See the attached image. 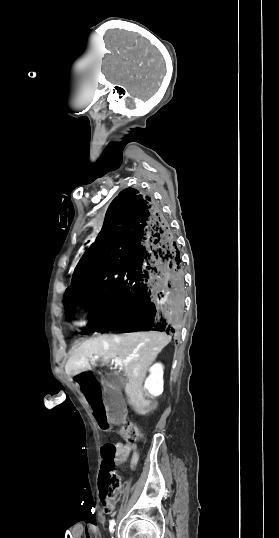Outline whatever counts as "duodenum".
<instances>
[{"label":"duodenum","mask_w":279,"mask_h":538,"mask_svg":"<svg viewBox=\"0 0 279 538\" xmlns=\"http://www.w3.org/2000/svg\"><path fill=\"white\" fill-rule=\"evenodd\" d=\"M97 377H98V378H103V377H104V372H103V370H100V371L97 372Z\"/></svg>","instance_id":"410a0bca"}]
</instances>
